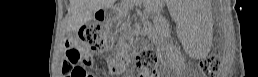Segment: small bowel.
<instances>
[{
  "label": "small bowel",
  "instance_id": "obj_1",
  "mask_svg": "<svg viewBox=\"0 0 258 77\" xmlns=\"http://www.w3.org/2000/svg\"><path fill=\"white\" fill-rule=\"evenodd\" d=\"M82 52H83V55H84V61L87 64L93 63V61H94L93 55L85 48L82 49ZM107 66H108V68L111 72H116L117 71L115 60H113V59L108 60L107 61Z\"/></svg>",
  "mask_w": 258,
  "mask_h": 77
}]
</instances>
